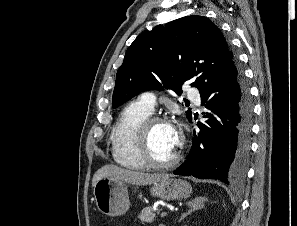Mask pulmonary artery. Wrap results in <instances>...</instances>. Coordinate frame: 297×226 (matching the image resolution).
I'll list each match as a JSON object with an SVG mask.
<instances>
[{
  "mask_svg": "<svg viewBox=\"0 0 297 226\" xmlns=\"http://www.w3.org/2000/svg\"><path fill=\"white\" fill-rule=\"evenodd\" d=\"M188 97L195 101L196 103L200 102V95L199 91L196 88H190L188 91ZM139 100L143 105H145L147 108H149L151 111H154L156 106V97L153 92H143Z\"/></svg>",
  "mask_w": 297,
  "mask_h": 226,
  "instance_id": "e3ab8cb5",
  "label": "pulmonary artery"
}]
</instances>
